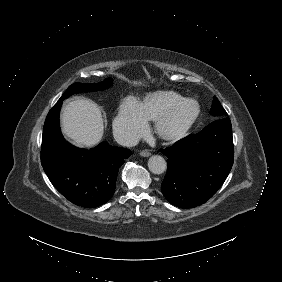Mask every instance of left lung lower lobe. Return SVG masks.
Wrapping results in <instances>:
<instances>
[{"mask_svg":"<svg viewBox=\"0 0 282 282\" xmlns=\"http://www.w3.org/2000/svg\"><path fill=\"white\" fill-rule=\"evenodd\" d=\"M167 156L164 197L180 208L205 203L222 186L233 165L231 121L218 117L201 132L160 150Z\"/></svg>","mask_w":282,"mask_h":282,"instance_id":"left-lung-lower-lobe-1","label":"left lung lower lobe"}]
</instances>
